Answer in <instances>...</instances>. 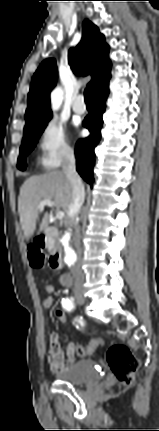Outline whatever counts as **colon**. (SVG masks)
<instances>
[{
    "instance_id": "1",
    "label": "colon",
    "mask_w": 159,
    "mask_h": 431,
    "mask_svg": "<svg viewBox=\"0 0 159 431\" xmlns=\"http://www.w3.org/2000/svg\"><path fill=\"white\" fill-rule=\"evenodd\" d=\"M29 260L32 267L41 268L44 264V254L42 244L35 243L29 250ZM46 307L52 309L56 302L53 297H48ZM55 316L58 318V324L67 327L70 324L68 315L63 309H57ZM102 339L99 336H92L90 342H80L77 348V355L80 360L89 359L96 352L97 348H103ZM107 362L114 377L124 385H131L134 382L135 374L139 363L131 350L123 344H114L107 351Z\"/></svg>"
}]
</instances>
